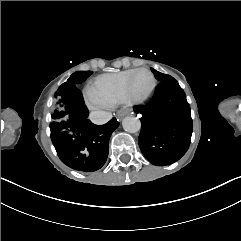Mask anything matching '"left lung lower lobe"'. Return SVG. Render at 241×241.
Listing matches in <instances>:
<instances>
[{"label":"left lung lower lobe","mask_w":241,"mask_h":241,"mask_svg":"<svg viewBox=\"0 0 241 241\" xmlns=\"http://www.w3.org/2000/svg\"><path fill=\"white\" fill-rule=\"evenodd\" d=\"M134 111L141 115L139 147L148 161L169 165L186 153L193 124L186 95L174 78L161 81L150 103Z\"/></svg>","instance_id":"0a47b994"}]
</instances>
